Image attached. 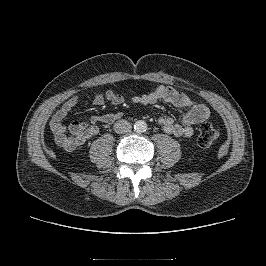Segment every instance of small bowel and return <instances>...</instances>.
I'll use <instances>...</instances> for the list:
<instances>
[{
  "label": "small bowel",
  "mask_w": 266,
  "mask_h": 266,
  "mask_svg": "<svg viewBox=\"0 0 266 266\" xmlns=\"http://www.w3.org/2000/svg\"><path fill=\"white\" fill-rule=\"evenodd\" d=\"M86 101L97 106L103 105L106 101L114 105H121L124 103V97L109 89L104 94L92 93L88 95ZM159 101L170 104L177 109H186L179 122H176L174 117L169 114L161 116L158 120L162 131L174 137L188 138L192 136L194 126L210 117V109L206 105L172 87L159 86L151 92L132 97L133 103L142 105H151ZM80 104L81 100L78 97L69 98L52 115L49 123L56 144L65 150H74L96 137L99 133V123L111 125L122 116L119 112L93 115L88 122L76 121L66 126L64 120Z\"/></svg>",
  "instance_id": "1"
}]
</instances>
